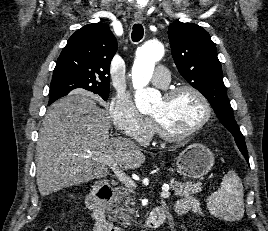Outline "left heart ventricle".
Masks as SVG:
<instances>
[{
  "label": "left heart ventricle",
  "mask_w": 268,
  "mask_h": 231,
  "mask_svg": "<svg viewBox=\"0 0 268 231\" xmlns=\"http://www.w3.org/2000/svg\"><path fill=\"white\" fill-rule=\"evenodd\" d=\"M149 114L163 119L172 132L183 133L201 120L203 105L193 94L184 92L170 102H165L161 97L154 103Z\"/></svg>",
  "instance_id": "obj_1"
}]
</instances>
